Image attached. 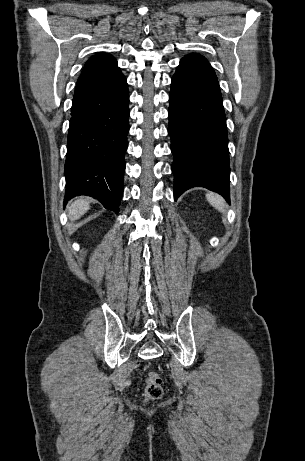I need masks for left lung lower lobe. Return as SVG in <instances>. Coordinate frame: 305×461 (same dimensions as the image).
<instances>
[{"mask_svg": "<svg viewBox=\"0 0 305 461\" xmlns=\"http://www.w3.org/2000/svg\"><path fill=\"white\" fill-rule=\"evenodd\" d=\"M174 197L205 187L229 202V151L222 96L215 72L201 55H186L169 95Z\"/></svg>", "mask_w": 305, "mask_h": 461, "instance_id": "left-lung-lower-lobe-1", "label": "left lung lower lobe"}]
</instances>
